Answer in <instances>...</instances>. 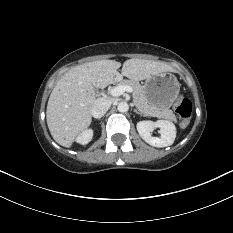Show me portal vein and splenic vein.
I'll return each mask as SVG.
<instances>
[{"label": "portal vein and splenic vein", "mask_w": 233, "mask_h": 233, "mask_svg": "<svg viewBox=\"0 0 233 233\" xmlns=\"http://www.w3.org/2000/svg\"><path fill=\"white\" fill-rule=\"evenodd\" d=\"M133 90L130 86H117L114 87L113 89L110 90V95L112 96H120L122 95L124 92H129L131 93Z\"/></svg>", "instance_id": "portal-vein-and-splenic-vein-1"}]
</instances>
